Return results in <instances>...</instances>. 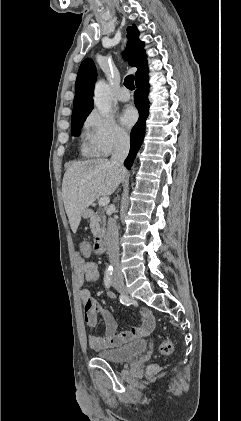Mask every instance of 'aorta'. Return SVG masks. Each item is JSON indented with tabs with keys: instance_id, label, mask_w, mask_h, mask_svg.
<instances>
[{
	"instance_id": "obj_1",
	"label": "aorta",
	"mask_w": 241,
	"mask_h": 421,
	"mask_svg": "<svg viewBox=\"0 0 241 421\" xmlns=\"http://www.w3.org/2000/svg\"><path fill=\"white\" fill-rule=\"evenodd\" d=\"M109 86L104 80H99L95 85L94 104L100 113L107 114L110 110Z\"/></svg>"
}]
</instances>
